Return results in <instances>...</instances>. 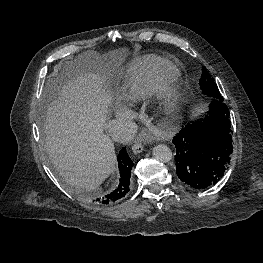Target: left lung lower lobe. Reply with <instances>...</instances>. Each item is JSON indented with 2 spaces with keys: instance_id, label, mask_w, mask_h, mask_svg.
<instances>
[{
  "instance_id": "1",
  "label": "left lung lower lobe",
  "mask_w": 263,
  "mask_h": 263,
  "mask_svg": "<svg viewBox=\"0 0 263 263\" xmlns=\"http://www.w3.org/2000/svg\"><path fill=\"white\" fill-rule=\"evenodd\" d=\"M172 142L179 179L196 189L215 185L233 151L230 112L223 99L214 98L207 116L188 123Z\"/></svg>"
}]
</instances>
